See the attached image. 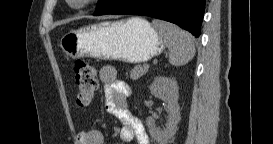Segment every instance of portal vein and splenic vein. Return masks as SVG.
I'll use <instances>...</instances> for the list:
<instances>
[{
    "mask_svg": "<svg viewBox=\"0 0 273 144\" xmlns=\"http://www.w3.org/2000/svg\"><path fill=\"white\" fill-rule=\"evenodd\" d=\"M145 67L148 69V68H149V65H148V64H146V65H145Z\"/></svg>",
    "mask_w": 273,
    "mask_h": 144,
    "instance_id": "18ae733b",
    "label": "portal vein and splenic vein"
}]
</instances>
